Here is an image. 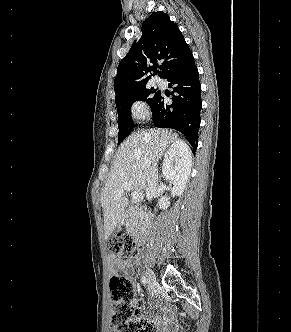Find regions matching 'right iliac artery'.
I'll return each mask as SVG.
<instances>
[{
	"label": "right iliac artery",
	"mask_w": 291,
	"mask_h": 332,
	"mask_svg": "<svg viewBox=\"0 0 291 332\" xmlns=\"http://www.w3.org/2000/svg\"><path fill=\"white\" fill-rule=\"evenodd\" d=\"M141 282H142V284L145 285L147 283V278L145 276H142Z\"/></svg>",
	"instance_id": "obj_1"
}]
</instances>
